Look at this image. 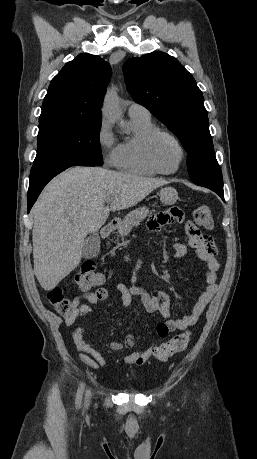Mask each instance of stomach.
Listing matches in <instances>:
<instances>
[{"label":"stomach","mask_w":257,"mask_h":459,"mask_svg":"<svg viewBox=\"0 0 257 459\" xmlns=\"http://www.w3.org/2000/svg\"><path fill=\"white\" fill-rule=\"evenodd\" d=\"M159 196L164 205H173L178 200V193L173 187L162 188Z\"/></svg>","instance_id":"1"}]
</instances>
